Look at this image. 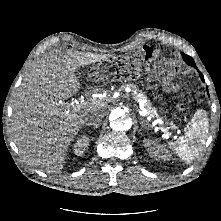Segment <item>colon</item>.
I'll return each mask as SVG.
<instances>
[{
  "label": "colon",
  "instance_id": "obj_1",
  "mask_svg": "<svg viewBox=\"0 0 221 221\" xmlns=\"http://www.w3.org/2000/svg\"><path fill=\"white\" fill-rule=\"evenodd\" d=\"M139 63H140V71L146 72L149 71L154 65V59L152 56V52L149 50L141 51L138 54ZM158 71L161 72L164 76L166 75V71L168 69V64L166 62H161L157 67ZM91 73L98 76L104 80H110L114 78H118L120 76V71L115 63H104L98 65L91 69ZM135 73V67L130 66L128 69L123 71L124 75H133Z\"/></svg>",
  "mask_w": 221,
  "mask_h": 221
}]
</instances>
